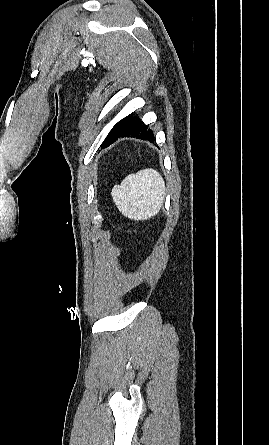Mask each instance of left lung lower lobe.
Here are the masks:
<instances>
[{
    "instance_id": "left-lung-lower-lobe-1",
    "label": "left lung lower lobe",
    "mask_w": 269,
    "mask_h": 445,
    "mask_svg": "<svg viewBox=\"0 0 269 445\" xmlns=\"http://www.w3.org/2000/svg\"><path fill=\"white\" fill-rule=\"evenodd\" d=\"M119 137H135L155 141L153 132L139 118L127 116L114 125L106 137L102 148L109 146Z\"/></svg>"
}]
</instances>
